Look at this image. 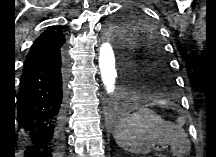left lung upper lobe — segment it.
Returning <instances> with one entry per match:
<instances>
[{
	"label": "left lung upper lobe",
	"mask_w": 216,
	"mask_h": 157,
	"mask_svg": "<svg viewBox=\"0 0 216 157\" xmlns=\"http://www.w3.org/2000/svg\"><path fill=\"white\" fill-rule=\"evenodd\" d=\"M156 28L127 8L108 22L106 34L116 46L129 92L174 98L177 84Z\"/></svg>",
	"instance_id": "5c2ea615"
}]
</instances>
